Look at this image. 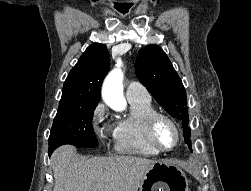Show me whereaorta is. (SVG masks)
I'll list each match as a JSON object with an SVG mask.
<instances>
[{"mask_svg":"<svg viewBox=\"0 0 251 191\" xmlns=\"http://www.w3.org/2000/svg\"><path fill=\"white\" fill-rule=\"evenodd\" d=\"M115 66V70L109 72L103 82L102 97L111 109L122 111V109H125L127 101L123 96L124 88L122 82L124 74L122 70H120L121 66H123L121 60H116Z\"/></svg>","mask_w":251,"mask_h":191,"instance_id":"obj_1","label":"aorta"}]
</instances>
